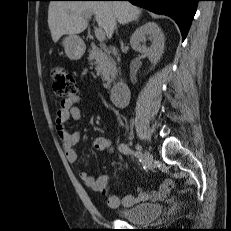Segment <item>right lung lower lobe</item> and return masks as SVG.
Masks as SVG:
<instances>
[{"label":"right lung lower lobe","mask_w":231,"mask_h":231,"mask_svg":"<svg viewBox=\"0 0 231 231\" xmlns=\"http://www.w3.org/2000/svg\"><path fill=\"white\" fill-rule=\"evenodd\" d=\"M97 1V0H90ZM129 1L134 5L148 9L154 13L164 14L178 24L182 40L186 38L192 19L195 15L197 3L200 0H118Z\"/></svg>","instance_id":"98d812e1"}]
</instances>
